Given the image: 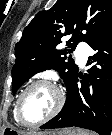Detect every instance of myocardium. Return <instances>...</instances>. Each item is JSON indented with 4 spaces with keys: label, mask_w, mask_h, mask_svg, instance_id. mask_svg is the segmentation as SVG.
Returning <instances> with one entry per match:
<instances>
[{
    "label": "myocardium",
    "mask_w": 112,
    "mask_h": 135,
    "mask_svg": "<svg viewBox=\"0 0 112 135\" xmlns=\"http://www.w3.org/2000/svg\"><path fill=\"white\" fill-rule=\"evenodd\" d=\"M38 85H48L50 87H52L57 95H58V102L56 104V106L54 107V109L45 117L39 119V120H29L28 118H26V116L23 113V99L26 95V93L33 87L38 86ZM65 103V95L64 92L62 91V89L55 84L53 81L48 80V79H37L34 80L33 82H31L30 84H28L20 93V95L17 98L16 101V115L18 120L25 126H29V127H33V126H38L40 124H43L51 119H53L56 115L59 114V112L62 110L63 106Z\"/></svg>",
    "instance_id": "f54148a6"
}]
</instances>
